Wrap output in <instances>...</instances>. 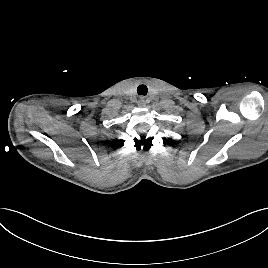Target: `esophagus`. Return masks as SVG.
Wrapping results in <instances>:
<instances>
[{
	"mask_svg": "<svg viewBox=\"0 0 268 268\" xmlns=\"http://www.w3.org/2000/svg\"><path fill=\"white\" fill-rule=\"evenodd\" d=\"M146 105V99L144 97H140L138 100V106L144 107Z\"/></svg>",
	"mask_w": 268,
	"mask_h": 268,
	"instance_id": "1",
	"label": "esophagus"
}]
</instances>
